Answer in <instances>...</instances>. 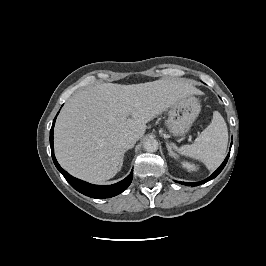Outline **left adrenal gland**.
<instances>
[{
    "instance_id": "obj_1",
    "label": "left adrenal gland",
    "mask_w": 266,
    "mask_h": 266,
    "mask_svg": "<svg viewBox=\"0 0 266 266\" xmlns=\"http://www.w3.org/2000/svg\"><path fill=\"white\" fill-rule=\"evenodd\" d=\"M166 146H167L169 155L176 159V154L172 151V148L168 142H166Z\"/></svg>"
}]
</instances>
